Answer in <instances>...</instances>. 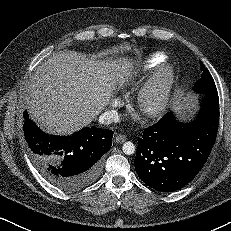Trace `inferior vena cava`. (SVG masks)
Returning <instances> with one entry per match:
<instances>
[{"label":"inferior vena cava","instance_id":"inferior-vena-cava-1","mask_svg":"<svg viewBox=\"0 0 231 231\" xmlns=\"http://www.w3.org/2000/svg\"><path fill=\"white\" fill-rule=\"evenodd\" d=\"M119 121V115L117 111H106L99 117L101 124L109 125Z\"/></svg>","mask_w":231,"mask_h":231}]
</instances>
